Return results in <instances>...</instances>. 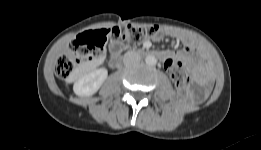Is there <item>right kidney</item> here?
<instances>
[{
    "mask_svg": "<svg viewBox=\"0 0 261 150\" xmlns=\"http://www.w3.org/2000/svg\"><path fill=\"white\" fill-rule=\"evenodd\" d=\"M108 71L105 68L93 70L79 78L73 86L78 96H91L96 93L106 80Z\"/></svg>",
    "mask_w": 261,
    "mask_h": 150,
    "instance_id": "1",
    "label": "right kidney"
}]
</instances>
